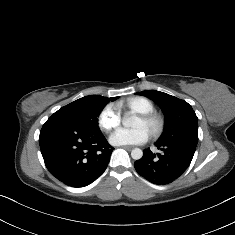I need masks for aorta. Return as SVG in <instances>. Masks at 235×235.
Segmentation results:
<instances>
[{"label": "aorta", "mask_w": 235, "mask_h": 235, "mask_svg": "<svg viewBox=\"0 0 235 235\" xmlns=\"http://www.w3.org/2000/svg\"><path fill=\"white\" fill-rule=\"evenodd\" d=\"M136 122L137 124H140V120L137 117H133V116H124L122 118V125L125 128H130L132 127L133 123ZM131 157L134 160H139L143 157V151L139 148H134L131 151Z\"/></svg>", "instance_id": "1"}]
</instances>
